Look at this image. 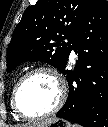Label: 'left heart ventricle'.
I'll list each match as a JSON object with an SVG mask.
<instances>
[{
  "label": "left heart ventricle",
  "instance_id": "left-heart-ventricle-1",
  "mask_svg": "<svg viewBox=\"0 0 108 127\" xmlns=\"http://www.w3.org/2000/svg\"><path fill=\"white\" fill-rule=\"evenodd\" d=\"M57 99L56 81L46 73H38L25 81L19 93L18 103L24 113L40 115L52 109Z\"/></svg>",
  "mask_w": 108,
  "mask_h": 127
}]
</instances>
